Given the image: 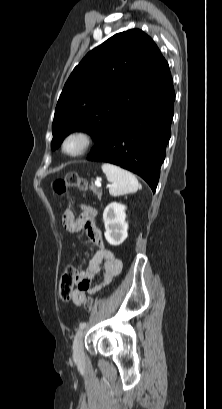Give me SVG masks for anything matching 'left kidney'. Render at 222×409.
I'll list each match as a JSON object with an SVG mask.
<instances>
[{"label":"left kidney","instance_id":"obj_1","mask_svg":"<svg viewBox=\"0 0 222 409\" xmlns=\"http://www.w3.org/2000/svg\"><path fill=\"white\" fill-rule=\"evenodd\" d=\"M125 209L126 207L124 205L112 202L106 206L103 212L105 225L104 235L110 245L118 246L122 244L128 236Z\"/></svg>","mask_w":222,"mask_h":409}]
</instances>
